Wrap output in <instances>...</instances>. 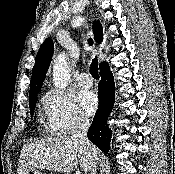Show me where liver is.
Returning a JSON list of instances; mask_svg holds the SVG:
<instances>
[{
  "mask_svg": "<svg viewBox=\"0 0 175 174\" xmlns=\"http://www.w3.org/2000/svg\"><path fill=\"white\" fill-rule=\"evenodd\" d=\"M78 163L84 171L91 169L92 158L85 146L76 142L73 137H49L23 146L17 173L47 169L68 174L77 168Z\"/></svg>",
  "mask_w": 175,
  "mask_h": 174,
  "instance_id": "1",
  "label": "liver"
}]
</instances>
